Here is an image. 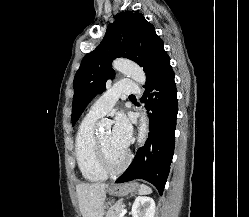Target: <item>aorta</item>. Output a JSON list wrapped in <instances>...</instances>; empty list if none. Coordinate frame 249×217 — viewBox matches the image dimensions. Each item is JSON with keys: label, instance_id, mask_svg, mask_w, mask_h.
I'll return each instance as SVG.
<instances>
[{"label": "aorta", "instance_id": "aorta-1", "mask_svg": "<svg viewBox=\"0 0 249 217\" xmlns=\"http://www.w3.org/2000/svg\"><path fill=\"white\" fill-rule=\"evenodd\" d=\"M112 66L115 70L129 75L134 81H136L140 85L145 84L146 76L143 69L139 67L137 64L133 63L132 61L126 59H116L113 61ZM99 124L104 125L105 121L103 120ZM148 128H149L148 118L146 114H143L140 117L139 128H138V135H137L138 146L144 145L148 134Z\"/></svg>", "mask_w": 249, "mask_h": 217}]
</instances>
